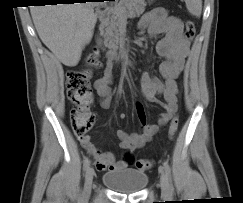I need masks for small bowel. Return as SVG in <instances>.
I'll list each match as a JSON object with an SVG mask.
<instances>
[{
	"label": "small bowel",
	"mask_w": 243,
	"mask_h": 203,
	"mask_svg": "<svg viewBox=\"0 0 243 203\" xmlns=\"http://www.w3.org/2000/svg\"><path fill=\"white\" fill-rule=\"evenodd\" d=\"M138 29L146 31L151 37L162 35L156 43L155 51L163 59L159 71L162 80L144 72L141 76L142 93L146 101L159 104L163 108L157 124L150 123L142 102L135 104L137 118L140 122V132L129 133L123 129L117 131L120 147L123 150L135 151L144 146L157 133L159 128L168 123L177 111V79L182 73L185 60L189 54V43L183 37L181 21L167 14L162 8H154L145 13ZM113 75V62L109 61L102 75L95 82V89L101 98L100 105L109 108L111 104L110 84ZM161 95L163 101L158 99ZM126 115L121 114L120 119ZM83 148L95 159L98 170H115L124 168L126 161H117L112 152H103L96 148L89 138H79Z\"/></svg>",
	"instance_id": "1"
}]
</instances>
